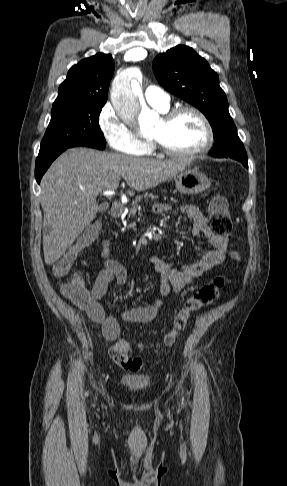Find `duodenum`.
<instances>
[{
    "instance_id": "obj_1",
    "label": "duodenum",
    "mask_w": 287,
    "mask_h": 486,
    "mask_svg": "<svg viewBox=\"0 0 287 486\" xmlns=\"http://www.w3.org/2000/svg\"><path fill=\"white\" fill-rule=\"evenodd\" d=\"M124 206L120 202H114L110 209V215L113 218L119 217L123 212Z\"/></svg>"
}]
</instances>
